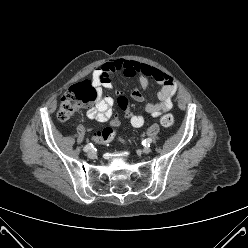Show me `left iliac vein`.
I'll return each mask as SVG.
<instances>
[{"instance_id": "left-iliac-vein-1", "label": "left iliac vein", "mask_w": 248, "mask_h": 248, "mask_svg": "<svg viewBox=\"0 0 248 248\" xmlns=\"http://www.w3.org/2000/svg\"><path fill=\"white\" fill-rule=\"evenodd\" d=\"M142 152H143L144 154H148V153L151 152V148L145 147V148L142 149Z\"/></svg>"}]
</instances>
